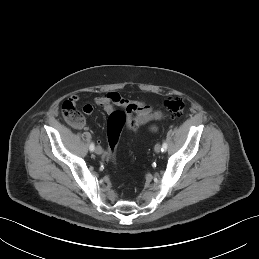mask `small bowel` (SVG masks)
<instances>
[{
  "mask_svg": "<svg viewBox=\"0 0 259 259\" xmlns=\"http://www.w3.org/2000/svg\"><path fill=\"white\" fill-rule=\"evenodd\" d=\"M94 102L107 113H112L115 107L124 108L128 116L127 127L131 132H137L140 127L163 118V113L154 110L146 101L127 99L117 91L104 92L98 95ZM83 110L87 115H90L93 112V107L90 104H86ZM85 127L84 121L77 126L79 129ZM149 129L155 132L157 127L154 124H150Z\"/></svg>",
  "mask_w": 259,
  "mask_h": 259,
  "instance_id": "small-bowel-1",
  "label": "small bowel"
}]
</instances>
